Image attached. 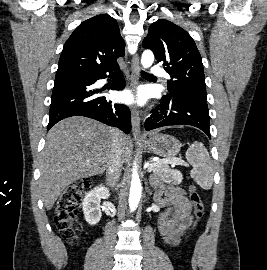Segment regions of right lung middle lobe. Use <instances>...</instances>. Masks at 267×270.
Segmentation results:
<instances>
[{
  "mask_svg": "<svg viewBox=\"0 0 267 270\" xmlns=\"http://www.w3.org/2000/svg\"><path fill=\"white\" fill-rule=\"evenodd\" d=\"M76 75H63V76H57L56 78H63V77H74Z\"/></svg>",
  "mask_w": 267,
  "mask_h": 270,
  "instance_id": "right-lung-middle-lobe-1",
  "label": "right lung middle lobe"
}]
</instances>
